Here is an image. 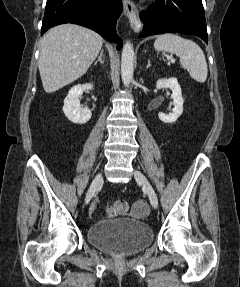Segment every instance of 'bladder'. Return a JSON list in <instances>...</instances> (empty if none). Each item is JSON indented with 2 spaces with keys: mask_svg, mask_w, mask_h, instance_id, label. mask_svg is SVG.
Masks as SVG:
<instances>
[{
  "mask_svg": "<svg viewBox=\"0 0 240 287\" xmlns=\"http://www.w3.org/2000/svg\"><path fill=\"white\" fill-rule=\"evenodd\" d=\"M88 242L95 247L114 254H136L153 241L152 228L133 219H113L93 224L87 232Z\"/></svg>",
  "mask_w": 240,
  "mask_h": 287,
  "instance_id": "1",
  "label": "bladder"
}]
</instances>
